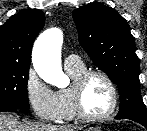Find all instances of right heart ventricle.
<instances>
[{"label": "right heart ventricle", "mask_w": 147, "mask_h": 131, "mask_svg": "<svg viewBox=\"0 0 147 131\" xmlns=\"http://www.w3.org/2000/svg\"><path fill=\"white\" fill-rule=\"evenodd\" d=\"M65 69L72 79L76 78L86 70L84 65L78 67H65ZM56 93L61 104V115L59 121L73 120L76 117V114L72 104L70 87L59 89Z\"/></svg>", "instance_id": "obj_1"}]
</instances>
